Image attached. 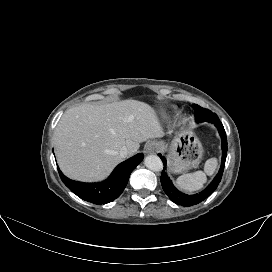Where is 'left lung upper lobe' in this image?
Instances as JSON below:
<instances>
[{
  "label": "left lung upper lobe",
  "instance_id": "left-lung-upper-lobe-1",
  "mask_svg": "<svg viewBox=\"0 0 272 272\" xmlns=\"http://www.w3.org/2000/svg\"><path fill=\"white\" fill-rule=\"evenodd\" d=\"M192 107L194 108L195 119L197 122H204V121L217 117L215 113L211 112L208 109L202 108L201 106L197 104H193Z\"/></svg>",
  "mask_w": 272,
  "mask_h": 272
}]
</instances>
